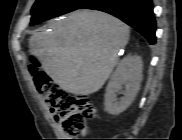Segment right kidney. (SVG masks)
<instances>
[{
    "label": "right kidney",
    "instance_id": "1",
    "mask_svg": "<svg viewBox=\"0 0 182 140\" xmlns=\"http://www.w3.org/2000/svg\"><path fill=\"white\" fill-rule=\"evenodd\" d=\"M142 59L140 56H127L117 66L107 85L105 93V110L111 115L125 111L135 99L142 81ZM124 96L118 101L117 93Z\"/></svg>",
    "mask_w": 182,
    "mask_h": 140
}]
</instances>
